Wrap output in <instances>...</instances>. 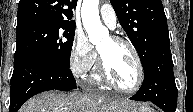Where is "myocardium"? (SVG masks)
<instances>
[{"label":"myocardium","mask_w":193,"mask_h":112,"mask_svg":"<svg viewBox=\"0 0 193 112\" xmlns=\"http://www.w3.org/2000/svg\"><path fill=\"white\" fill-rule=\"evenodd\" d=\"M110 39L114 43L126 45L131 50L133 57L135 59L136 66H137V80H136L135 85L131 88H128V89L118 86L108 75L107 70H106L105 65H104V62L102 60V57H101L100 53L98 52V74H99V77L106 85H108L110 88H112L113 90H115L117 92H120L123 94L136 93L141 88L143 81H144V68H143V64H142L139 52L136 49V47L134 46V44L126 38H123L121 36H112V37H110Z\"/></svg>","instance_id":"obj_1"}]
</instances>
